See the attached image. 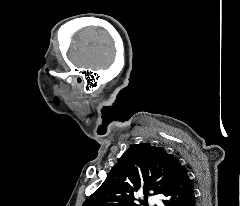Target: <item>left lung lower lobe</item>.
<instances>
[{
  "label": "left lung lower lobe",
  "instance_id": "0a47b994",
  "mask_svg": "<svg viewBox=\"0 0 240 206\" xmlns=\"http://www.w3.org/2000/svg\"><path fill=\"white\" fill-rule=\"evenodd\" d=\"M164 196L163 204L165 206H195L192 180L179 162L173 180Z\"/></svg>",
  "mask_w": 240,
  "mask_h": 206
}]
</instances>
